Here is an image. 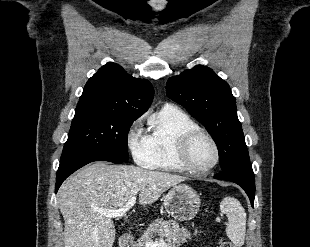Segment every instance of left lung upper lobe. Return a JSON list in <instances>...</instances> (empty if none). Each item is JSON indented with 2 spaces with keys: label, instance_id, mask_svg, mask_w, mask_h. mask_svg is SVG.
Here are the masks:
<instances>
[{
  "label": "left lung upper lobe",
  "instance_id": "5c2ea615",
  "mask_svg": "<svg viewBox=\"0 0 310 247\" xmlns=\"http://www.w3.org/2000/svg\"><path fill=\"white\" fill-rule=\"evenodd\" d=\"M166 93L207 128L217 145L222 170L250 163L235 97L210 68L199 65L171 77Z\"/></svg>",
  "mask_w": 310,
  "mask_h": 247
}]
</instances>
